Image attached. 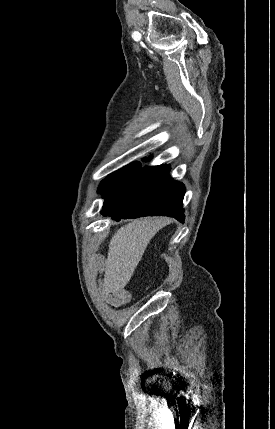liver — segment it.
<instances>
[{
    "label": "liver",
    "mask_w": 275,
    "mask_h": 429,
    "mask_svg": "<svg viewBox=\"0 0 275 429\" xmlns=\"http://www.w3.org/2000/svg\"><path fill=\"white\" fill-rule=\"evenodd\" d=\"M169 220L141 218L115 232L109 243L104 276L105 289L117 295L130 281L148 243Z\"/></svg>",
    "instance_id": "6515ba94"
}]
</instances>
